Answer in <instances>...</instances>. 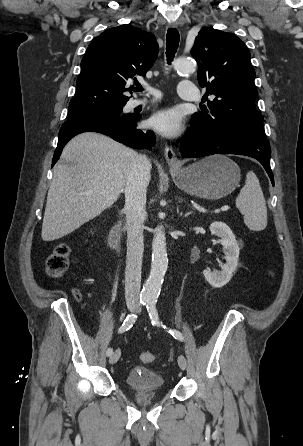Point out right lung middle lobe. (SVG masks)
<instances>
[{"label":"right lung middle lobe","mask_w":303,"mask_h":446,"mask_svg":"<svg viewBox=\"0 0 303 446\" xmlns=\"http://www.w3.org/2000/svg\"><path fill=\"white\" fill-rule=\"evenodd\" d=\"M124 105L125 104L99 107V108H96L89 112H86L79 108L69 107V113L67 115V118H71V117L82 115V114L92 113V112H101V113H107V114L120 115Z\"/></svg>","instance_id":"right-lung-middle-lobe-1"}]
</instances>
